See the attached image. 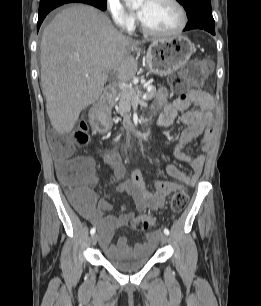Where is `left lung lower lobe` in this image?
Returning <instances> with one entry per match:
<instances>
[{
  "mask_svg": "<svg viewBox=\"0 0 261 306\" xmlns=\"http://www.w3.org/2000/svg\"><path fill=\"white\" fill-rule=\"evenodd\" d=\"M192 29H203L210 32L212 35H215V22H211L204 19H195L188 21L184 31Z\"/></svg>",
  "mask_w": 261,
  "mask_h": 306,
  "instance_id": "obj_1",
  "label": "left lung lower lobe"
}]
</instances>
